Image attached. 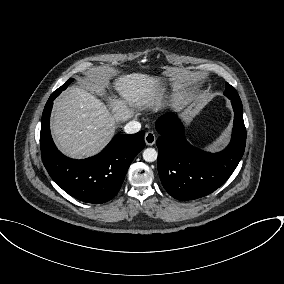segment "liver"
<instances>
[{
	"label": "liver",
	"instance_id": "1",
	"mask_svg": "<svg viewBox=\"0 0 284 284\" xmlns=\"http://www.w3.org/2000/svg\"><path fill=\"white\" fill-rule=\"evenodd\" d=\"M111 84L120 98L107 96L104 86H99L108 105L81 88L70 89L55 100L51 130L63 154L76 159L93 156L112 139L118 122L132 118L136 111L157 112L163 107L165 88L160 78L132 73L114 77Z\"/></svg>",
	"mask_w": 284,
	"mask_h": 284
}]
</instances>
